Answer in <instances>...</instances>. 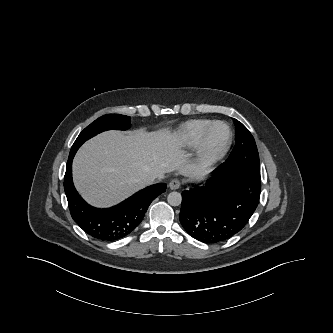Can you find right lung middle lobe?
Instances as JSON below:
<instances>
[{
  "instance_id": "obj_1",
  "label": "right lung middle lobe",
  "mask_w": 333,
  "mask_h": 333,
  "mask_svg": "<svg viewBox=\"0 0 333 333\" xmlns=\"http://www.w3.org/2000/svg\"><path fill=\"white\" fill-rule=\"evenodd\" d=\"M130 127V117L119 114H107L101 116L87 126L77 137L70 153L76 152L78 148L91 137L106 130H126Z\"/></svg>"
}]
</instances>
